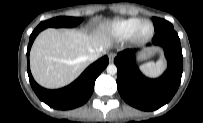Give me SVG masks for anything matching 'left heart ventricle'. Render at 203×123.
<instances>
[{"label": "left heart ventricle", "instance_id": "obj_1", "mask_svg": "<svg viewBox=\"0 0 203 123\" xmlns=\"http://www.w3.org/2000/svg\"><path fill=\"white\" fill-rule=\"evenodd\" d=\"M151 25L149 23H145L141 26L140 31H139V35L141 37H146L151 33Z\"/></svg>", "mask_w": 203, "mask_h": 123}]
</instances>
